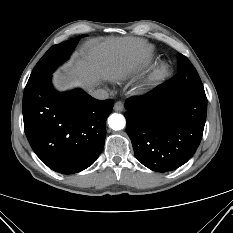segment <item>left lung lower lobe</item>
<instances>
[{"mask_svg": "<svg viewBox=\"0 0 233 233\" xmlns=\"http://www.w3.org/2000/svg\"><path fill=\"white\" fill-rule=\"evenodd\" d=\"M127 134L136 158L157 172L186 163L200 144L207 113L205 93L167 83L125 104Z\"/></svg>", "mask_w": 233, "mask_h": 233, "instance_id": "0a47b994", "label": "left lung lower lobe"}]
</instances>
